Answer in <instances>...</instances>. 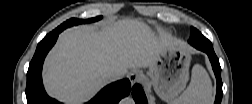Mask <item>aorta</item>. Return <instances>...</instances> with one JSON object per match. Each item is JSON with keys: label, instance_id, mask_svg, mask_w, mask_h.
Here are the masks:
<instances>
[{"label": "aorta", "instance_id": "1", "mask_svg": "<svg viewBox=\"0 0 252 104\" xmlns=\"http://www.w3.org/2000/svg\"><path fill=\"white\" fill-rule=\"evenodd\" d=\"M124 103H132V98H126V100L124 101Z\"/></svg>", "mask_w": 252, "mask_h": 104}]
</instances>
